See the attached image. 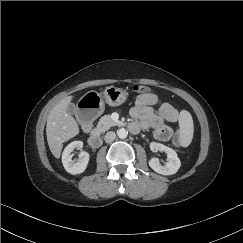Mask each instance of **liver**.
<instances>
[{"label":"liver","mask_w":243,"mask_h":243,"mask_svg":"<svg viewBox=\"0 0 243 243\" xmlns=\"http://www.w3.org/2000/svg\"><path fill=\"white\" fill-rule=\"evenodd\" d=\"M73 96L61 99L50 111L46 124L49 149L55 158H60L63 143L79 134L76 120L67 113V106Z\"/></svg>","instance_id":"1"}]
</instances>
